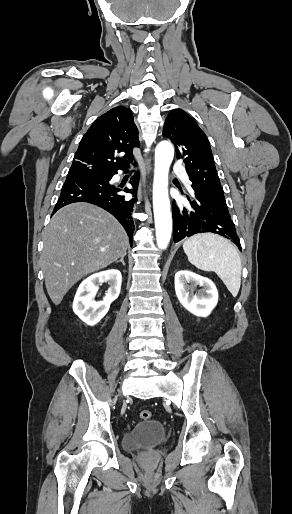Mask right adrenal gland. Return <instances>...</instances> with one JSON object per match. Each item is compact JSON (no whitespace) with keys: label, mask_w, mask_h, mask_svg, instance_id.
Masks as SVG:
<instances>
[{"label":"right adrenal gland","mask_w":292,"mask_h":514,"mask_svg":"<svg viewBox=\"0 0 292 514\" xmlns=\"http://www.w3.org/2000/svg\"><path fill=\"white\" fill-rule=\"evenodd\" d=\"M118 262H121V264H123V266H125L124 256H122V258H120V260H118ZM118 262H116V264H118Z\"/></svg>","instance_id":"1"}]
</instances>
